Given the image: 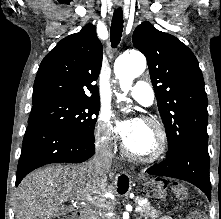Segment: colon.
<instances>
[{
  "label": "colon",
  "instance_id": "obj_1",
  "mask_svg": "<svg viewBox=\"0 0 221 219\" xmlns=\"http://www.w3.org/2000/svg\"><path fill=\"white\" fill-rule=\"evenodd\" d=\"M177 196L179 199L184 198V189L182 187H177ZM186 219H206V215L200 210L191 211Z\"/></svg>",
  "mask_w": 221,
  "mask_h": 219
}]
</instances>
